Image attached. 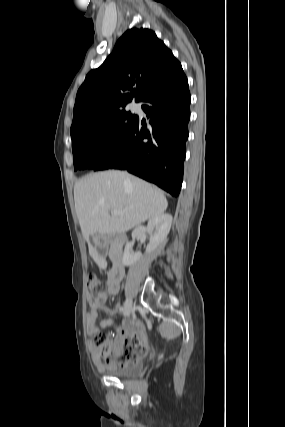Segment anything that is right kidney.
Returning a JSON list of instances; mask_svg holds the SVG:
<instances>
[{
  "label": "right kidney",
  "instance_id": "obj_1",
  "mask_svg": "<svg viewBox=\"0 0 285 427\" xmlns=\"http://www.w3.org/2000/svg\"><path fill=\"white\" fill-rule=\"evenodd\" d=\"M172 224V216L170 214L163 213L149 220L147 226L140 227L132 233V241L127 243L125 246L122 262L124 266H131L141 258L140 253H134L132 248L135 239L140 233L147 232L150 235V242L147 245L146 252L151 253L159 246H161L170 231Z\"/></svg>",
  "mask_w": 285,
  "mask_h": 427
}]
</instances>
